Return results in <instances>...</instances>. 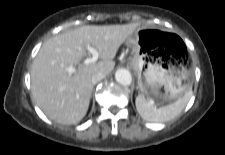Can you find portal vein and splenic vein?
Returning a JSON list of instances; mask_svg holds the SVG:
<instances>
[{"instance_id": "18ae733b", "label": "portal vein and splenic vein", "mask_w": 225, "mask_h": 155, "mask_svg": "<svg viewBox=\"0 0 225 155\" xmlns=\"http://www.w3.org/2000/svg\"><path fill=\"white\" fill-rule=\"evenodd\" d=\"M87 50L92 54V57L91 58H86L84 60V63L85 64L95 63L98 60L99 52L95 48H93L91 46H88ZM66 70L69 73H74L76 69L74 67H72V66H69V67L66 68Z\"/></svg>"}]
</instances>
